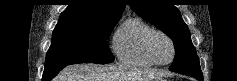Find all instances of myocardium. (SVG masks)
I'll use <instances>...</instances> for the list:
<instances>
[{
  "label": "myocardium",
  "instance_id": "f54148a6",
  "mask_svg": "<svg viewBox=\"0 0 237 81\" xmlns=\"http://www.w3.org/2000/svg\"><path fill=\"white\" fill-rule=\"evenodd\" d=\"M156 36H162L165 39L168 40V42L171 45L172 48V55L170 57V59L166 62H160L156 59L154 51H153V40ZM145 47H146V52L148 54V56L150 57V59L154 62V64L159 65V66H167L169 65L175 58V54H176V48H175V44L174 41L172 40V38L167 35L166 33H164L163 31L160 30H152L147 38H146V42H145Z\"/></svg>",
  "mask_w": 237,
  "mask_h": 81
}]
</instances>
